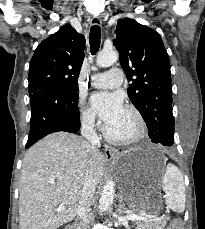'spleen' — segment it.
<instances>
[{
    "instance_id": "1",
    "label": "spleen",
    "mask_w": 205,
    "mask_h": 229,
    "mask_svg": "<svg viewBox=\"0 0 205 229\" xmlns=\"http://www.w3.org/2000/svg\"><path fill=\"white\" fill-rule=\"evenodd\" d=\"M162 188L165 192L166 205L177 213L185 210V185L183 174L174 164H167L164 177L162 179Z\"/></svg>"
}]
</instances>
